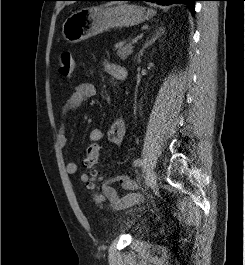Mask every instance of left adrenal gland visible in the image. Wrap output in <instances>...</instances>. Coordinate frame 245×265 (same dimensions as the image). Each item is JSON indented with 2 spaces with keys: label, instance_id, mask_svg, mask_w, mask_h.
Instances as JSON below:
<instances>
[{
  "label": "left adrenal gland",
  "instance_id": "1",
  "mask_svg": "<svg viewBox=\"0 0 245 265\" xmlns=\"http://www.w3.org/2000/svg\"><path fill=\"white\" fill-rule=\"evenodd\" d=\"M165 30L163 27H159V28H156L152 37L149 39L147 38V40L145 41L142 49L139 51L138 53V57H137V62L140 63L141 62V57L143 56V53L145 51L146 48H148L149 46H151L152 44L155 43V41L161 37L162 34H164Z\"/></svg>",
  "mask_w": 245,
  "mask_h": 265
}]
</instances>
